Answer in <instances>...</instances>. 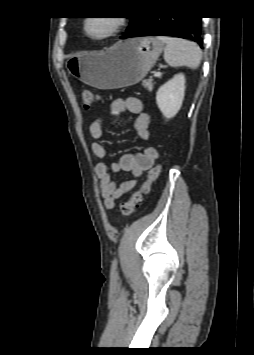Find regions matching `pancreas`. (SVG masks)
<instances>
[{
  "instance_id": "pancreas-1",
  "label": "pancreas",
  "mask_w": 254,
  "mask_h": 355,
  "mask_svg": "<svg viewBox=\"0 0 254 355\" xmlns=\"http://www.w3.org/2000/svg\"><path fill=\"white\" fill-rule=\"evenodd\" d=\"M143 86L144 88H146L149 92H151L153 90V80L152 79H148V80H144L143 81Z\"/></svg>"
}]
</instances>
